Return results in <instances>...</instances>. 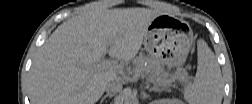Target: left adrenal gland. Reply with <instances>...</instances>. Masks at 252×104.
<instances>
[{"label": "left adrenal gland", "instance_id": "a2214340", "mask_svg": "<svg viewBox=\"0 0 252 104\" xmlns=\"http://www.w3.org/2000/svg\"><path fill=\"white\" fill-rule=\"evenodd\" d=\"M147 89L149 90V92H151V91H156V92L160 91V87H158V86H153L152 88H149V85H147Z\"/></svg>", "mask_w": 252, "mask_h": 104}]
</instances>
